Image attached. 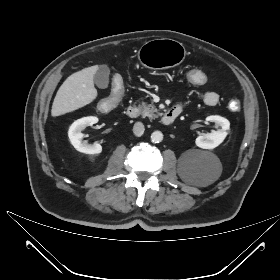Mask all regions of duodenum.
I'll return each mask as SVG.
<instances>
[{
  "mask_svg": "<svg viewBox=\"0 0 280 280\" xmlns=\"http://www.w3.org/2000/svg\"><path fill=\"white\" fill-rule=\"evenodd\" d=\"M181 113V108L179 107H171L170 109H168L163 117H162V124L164 125H169L171 124L176 118L177 116ZM126 115L129 118H136L138 115V108L135 105H129L126 108Z\"/></svg>",
  "mask_w": 280,
  "mask_h": 280,
  "instance_id": "410a0bca",
  "label": "duodenum"
}]
</instances>
